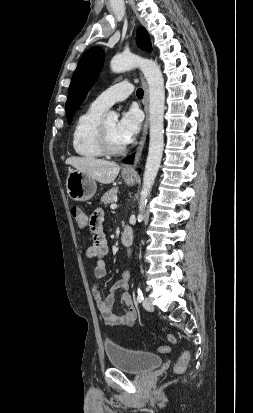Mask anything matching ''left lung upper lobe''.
Returning <instances> with one entry per match:
<instances>
[{
    "instance_id": "left-lung-upper-lobe-1",
    "label": "left lung upper lobe",
    "mask_w": 253,
    "mask_h": 413,
    "mask_svg": "<svg viewBox=\"0 0 253 413\" xmlns=\"http://www.w3.org/2000/svg\"><path fill=\"white\" fill-rule=\"evenodd\" d=\"M137 43L145 51L151 50L149 35L143 27L138 29ZM104 57V51L100 47H92L82 55L69 86L66 102L68 124L71 123L72 116L96 81L102 69Z\"/></svg>"
}]
</instances>
